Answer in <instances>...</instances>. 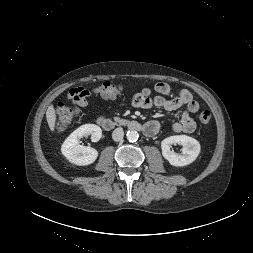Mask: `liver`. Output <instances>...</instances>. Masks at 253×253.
<instances>
[{
    "label": "liver",
    "instance_id": "6515ba94",
    "mask_svg": "<svg viewBox=\"0 0 253 253\" xmlns=\"http://www.w3.org/2000/svg\"><path fill=\"white\" fill-rule=\"evenodd\" d=\"M46 119L48 126L51 131H54L55 129V122H56V114H55V109L53 105H50L46 111Z\"/></svg>",
    "mask_w": 253,
    "mask_h": 253
}]
</instances>
